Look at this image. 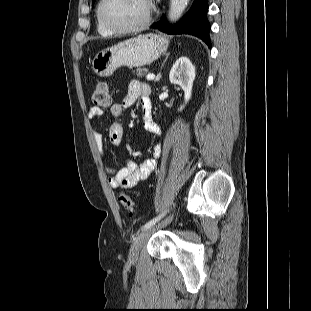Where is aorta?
I'll use <instances>...</instances> for the list:
<instances>
[{
	"label": "aorta",
	"instance_id": "aorta-1",
	"mask_svg": "<svg viewBox=\"0 0 311 311\" xmlns=\"http://www.w3.org/2000/svg\"><path fill=\"white\" fill-rule=\"evenodd\" d=\"M189 0H170L169 19L176 21L187 7Z\"/></svg>",
	"mask_w": 311,
	"mask_h": 311
}]
</instances>
